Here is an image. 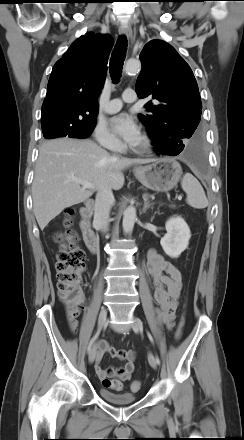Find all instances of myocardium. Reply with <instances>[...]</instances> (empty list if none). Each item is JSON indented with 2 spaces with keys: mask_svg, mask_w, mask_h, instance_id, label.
I'll return each mask as SVG.
<instances>
[{
  "mask_svg": "<svg viewBox=\"0 0 244 440\" xmlns=\"http://www.w3.org/2000/svg\"><path fill=\"white\" fill-rule=\"evenodd\" d=\"M152 147V139L147 133L140 136L139 142L133 147L137 152H146Z\"/></svg>",
  "mask_w": 244,
  "mask_h": 440,
  "instance_id": "obj_1",
  "label": "myocardium"
}]
</instances>
